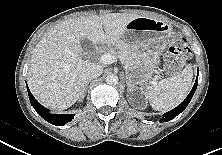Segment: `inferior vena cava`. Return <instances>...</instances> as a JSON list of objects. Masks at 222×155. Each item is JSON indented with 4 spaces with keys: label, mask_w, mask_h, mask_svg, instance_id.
<instances>
[{
    "label": "inferior vena cava",
    "mask_w": 222,
    "mask_h": 155,
    "mask_svg": "<svg viewBox=\"0 0 222 155\" xmlns=\"http://www.w3.org/2000/svg\"><path fill=\"white\" fill-rule=\"evenodd\" d=\"M103 72V68L101 65L96 63H91L88 65V67L85 70V77L86 79H94L99 77Z\"/></svg>",
    "instance_id": "obj_1"
}]
</instances>
